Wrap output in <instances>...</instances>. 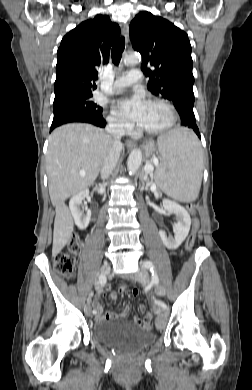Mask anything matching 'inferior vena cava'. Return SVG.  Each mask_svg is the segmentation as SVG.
Segmentation results:
<instances>
[{
	"mask_svg": "<svg viewBox=\"0 0 252 390\" xmlns=\"http://www.w3.org/2000/svg\"><path fill=\"white\" fill-rule=\"evenodd\" d=\"M106 132L112 136L113 145L101 167V178L103 181L109 178L118 162L122 150L120 139L125 134V130L124 126L121 124L109 123L106 126Z\"/></svg>",
	"mask_w": 252,
	"mask_h": 390,
	"instance_id": "obj_1",
	"label": "inferior vena cava"
}]
</instances>
